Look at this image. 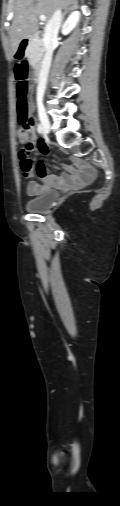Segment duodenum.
<instances>
[{
    "mask_svg": "<svg viewBox=\"0 0 120 506\" xmlns=\"http://www.w3.org/2000/svg\"><path fill=\"white\" fill-rule=\"evenodd\" d=\"M40 36L39 33H35L33 35H30V36H27L25 38L22 39L20 45L17 47V56L19 58H26L27 57V47L28 45L33 41L35 40L36 38H38ZM34 69H35V76H36V79H38L41 75V72H42V63L40 61L38 62H35L34 63Z\"/></svg>",
    "mask_w": 120,
    "mask_h": 506,
    "instance_id": "duodenum-1",
    "label": "duodenum"
}]
</instances>
